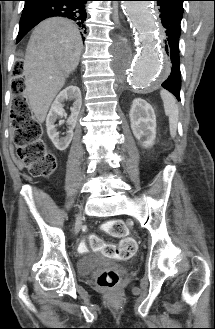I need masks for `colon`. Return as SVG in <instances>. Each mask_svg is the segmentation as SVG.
Segmentation results:
<instances>
[{"label":"colon","instance_id":"obj_1","mask_svg":"<svg viewBox=\"0 0 215 329\" xmlns=\"http://www.w3.org/2000/svg\"><path fill=\"white\" fill-rule=\"evenodd\" d=\"M13 62H26V55H13ZM11 73H21V66H11ZM14 92L11 111L13 140L16 146V158L34 177H48L57 167V158L49 151L42 139V127L34 118L24 97L25 85L20 79L12 81ZM104 231L112 237L120 238L118 245L106 244L99 237L90 236L80 245L85 250L89 245L109 257L127 259L136 251V242L128 235V229L122 220H111L104 224ZM119 283V274L115 270H106L97 278V284L113 290Z\"/></svg>","mask_w":215,"mask_h":329}]
</instances>
